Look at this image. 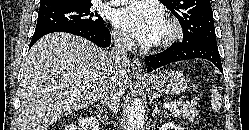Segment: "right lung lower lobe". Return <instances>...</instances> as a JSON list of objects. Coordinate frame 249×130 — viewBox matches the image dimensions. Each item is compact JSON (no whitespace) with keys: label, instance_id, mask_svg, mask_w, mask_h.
<instances>
[{"label":"right lung lower lobe","instance_id":"right-lung-lower-lobe-1","mask_svg":"<svg viewBox=\"0 0 249 130\" xmlns=\"http://www.w3.org/2000/svg\"><path fill=\"white\" fill-rule=\"evenodd\" d=\"M53 32H66V33L78 35V36L84 37L92 41L99 47H108L111 41L110 32L105 26L101 28H88L84 26H62V27L48 29L45 31L35 32L32 37L29 48H31V46L38 39H40L46 34L53 33Z\"/></svg>","mask_w":249,"mask_h":130}]
</instances>
